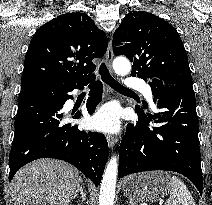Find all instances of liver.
<instances>
[{
    "label": "liver",
    "mask_w": 212,
    "mask_h": 205,
    "mask_svg": "<svg viewBox=\"0 0 212 205\" xmlns=\"http://www.w3.org/2000/svg\"><path fill=\"white\" fill-rule=\"evenodd\" d=\"M79 172L54 159L36 160L14 176L10 190L14 205H69L78 185Z\"/></svg>",
    "instance_id": "obj_1"
}]
</instances>
